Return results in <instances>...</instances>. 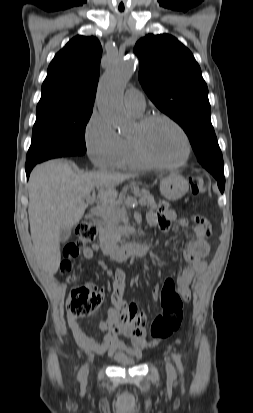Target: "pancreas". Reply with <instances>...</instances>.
Listing matches in <instances>:
<instances>
[{
  "label": "pancreas",
  "mask_w": 253,
  "mask_h": 413,
  "mask_svg": "<svg viewBox=\"0 0 253 413\" xmlns=\"http://www.w3.org/2000/svg\"><path fill=\"white\" fill-rule=\"evenodd\" d=\"M135 196L139 197V203L142 206L147 205L150 210H155L157 204L154 197L147 190H135ZM127 212L124 207H114L104 215V223L107 226H117L120 222H127Z\"/></svg>",
  "instance_id": "cf45deb5"
}]
</instances>
